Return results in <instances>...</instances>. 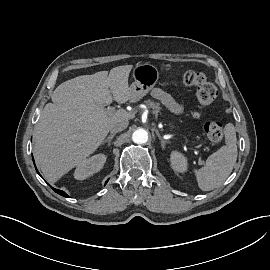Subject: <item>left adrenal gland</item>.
Returning a JSON list of instances; mask_svg holds the SVG:
<instances>
[{
	"label": "left adrenal gland",
	"mask_w": 270,
	"mask_h": 270,
	"mask_svg": "<svg viewBox=\"0 0 270 270\" xmlns=\"http://www.w3.org/2000/svg\"><path fill=\"white\" fill-rule=\"evenodd\" d=\"M156 135L158 136L159 140L161 141V146H162V148H165L166 141H164V140L161 138V135H160V133L158 132V130H156Z\"/></svg>",
	"instance_id": "a2214340"
}]
</instances>
